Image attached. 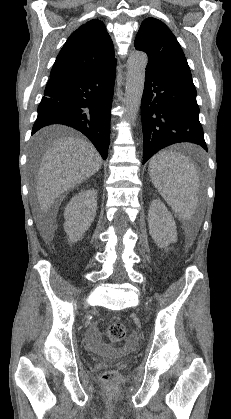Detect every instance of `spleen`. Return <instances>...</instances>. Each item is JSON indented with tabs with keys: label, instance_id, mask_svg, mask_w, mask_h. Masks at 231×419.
Listing matches in <instances>:
<instances>
[{
	"label": "spleen",
	"instance_id": "1",
	"mask_svg": "<svg viewBox=\"0 0 231 419\" xmlns=\"http://www.w3.org/2000/svg\"><path fill=\"white\" fill-rule=\"evenodd\" d=\"M153 185L172 210L189 220L195 213L199 197V174L184 155L163 150L154 155L148 167Z\"/></svg>",
	"mask_w": 231,
	"mask_h": 419
}]
</instances>
